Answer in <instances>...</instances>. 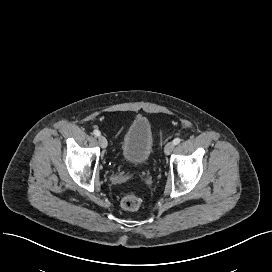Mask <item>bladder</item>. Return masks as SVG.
I'll return each instance as SVG.
<instances>
[{"instance_id": "1", "label": "bladder", "mask_w": 272, "mask_h": 272, "mask_svg": "<svg viewBox=\"0 0 272 272\" xmlns=\"http://www.w3.org/2000/svg\"><path fill=\"white\" fill-rule=\"evenodd\" d=\"M154 149V134L148 118L138 116L126 128L121 144L122 158L133 164L149 160Z\"/></svg>"}]
</instances>
